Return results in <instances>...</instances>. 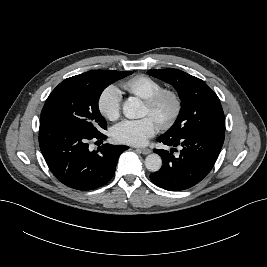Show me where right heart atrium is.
Wrapping results in <instances>:
<instances>
[{
	"label": "right heart atrium",
	"mask_w": 267,
	"mask_h": 267,
	"mask_svg": "<svg viewBox=\"0 0 267 267\" xmlns=\"http://www.w3.org/2000/svg\"><path fill=\"white\" fill-rule=\"evenodd\" d=\"M99 112L108 120H116L121 112V93L115 86L106 87L98 98Z\"/></svg>",
	"instance_id": "1"
}]
</instances>
